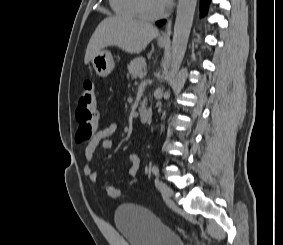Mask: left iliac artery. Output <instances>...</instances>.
<instances>
[{"instance_id": "left-iliac-artery-1", "label": "left iliac artery", "mask_w": 283, "mask_h": 245, "mask_svg": "<svg viewBox=\"0 0 283 245\" xmlns=\"http://www.w3.org/2000/svg\"><path fill=\"white\" fill-rule=\"evenodd\" d=\"M152 173H153L155 176H158V174H159V168H158V166L154 165V166L152 167ZM155 183H156V184L158 183V178H156Z\"/></svg>"}]
</instances>
